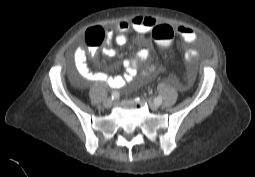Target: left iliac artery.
<instances>
[{"label":"left iliac artery","mask_w":255,"mask_h":177,"mask_svg":"<svg viewBox=\"0 0 255 177\" xmlns=\"http://www.w3.org/2000/svg\"><path fill=\"white\" fill-rule=\"evenodd\" d=\"M155 103H156L157 105H161V103H162V97H161V96H158V97L155 99Z\"/></svg>","instance_id":"44dca946"}]
</instances>
